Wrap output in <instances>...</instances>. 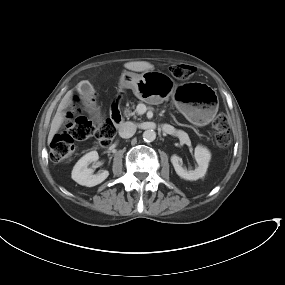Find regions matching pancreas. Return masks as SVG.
<instances>
[{"instance_id": "1", "label": "pancreas", "mask_w": 285, "mask_h": 285, "mask_svg": "<svg viewBox=\"0 0 285 285\" xmlns=\"http://www.w3.org/2000/svg\"><path fill=\"white\" fill-rule=\"evenodd\" d=\"M132 108H135V105H132ZM136 111H132L130 108H125L124 110V115L128 118L130 116H134L135 117Z\"/></svg>"}]
</instances>
